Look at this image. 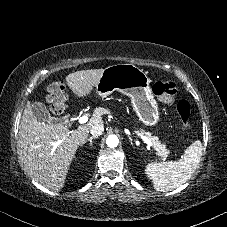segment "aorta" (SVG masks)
I'll list each match as a JSON object with an SVG mask.
<instances>
[{
	"instance_id": "762f6f07",
	"label": "aorta",
	"mask_w": 227,
	"mask_h": 227,
	"mask_svg": "<svg viewBox=\"0 0 227 227\" xmlns=\"http://www.w3.org/2000/svg\"><path fill=\"white\" fill-rule=\"evenodd\" d=\"M119 139L116 135H109L106 139V144L110 148H114L118 145Z\"/></svg>"
}]
</instances>
